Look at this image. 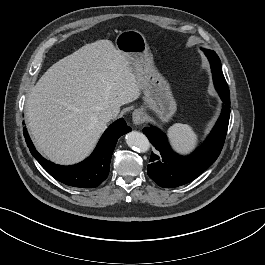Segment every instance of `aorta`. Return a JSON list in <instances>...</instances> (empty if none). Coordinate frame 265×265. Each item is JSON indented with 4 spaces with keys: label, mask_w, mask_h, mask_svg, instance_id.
Listing matches in <instances>:
<instances>
[{
    "label": "aorta",
    "mask_w": 265,
    "mask_h": 265,
    "mask_svg": "<svg viewBox=\"0 0 265 265\" xmlns=\"http://www.w3.org/2000/svg\"><path fill=\"white\" fill-rule=\"evenodd\" d=\"M125 138L127 145L137 152H147L150 148L148 138L141 132L131 131Z\"/></svg>",
    "instance_id": "aorta-1"
}]
</instances>
